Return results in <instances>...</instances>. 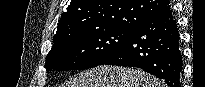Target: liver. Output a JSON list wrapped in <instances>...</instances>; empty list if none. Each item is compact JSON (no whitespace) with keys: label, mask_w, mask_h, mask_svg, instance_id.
I'll return each instance as SVG.
<instances>
[{"label":"liver","mask_w":205,"mask_h":87,"mask_svg":"<svg viewBox=\"0 0 205 87\" xmlns=\"http://www.w3.org/2000/svg\"><path fill=\"white\" fill-rule=\"evenodd\" d=\"M65 87H164L160 80L141 70L98 66L79 73Z\"/></svg>","instance_id":"liver-1"}]
</instances>
